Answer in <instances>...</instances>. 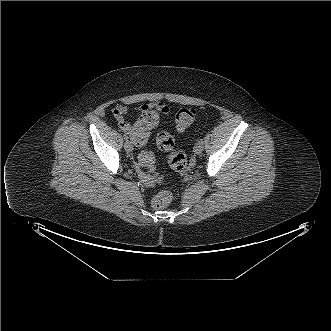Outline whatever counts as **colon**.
Returning <instances> with one entry per match:
<instances>
[{
	"label": "colon",
	"mask_w": 331,
	"mask_h": 331,
	"mask_svg": "<svg viewBox=\"0 0 331 331\" xmlns=\"http://www.w3.org/2000/svg\"><path fill=\"white\" fill-rule=\"evenodd\" d=\"M196 110L190 107L180 109L175 116V125L178 130L189 128L196 118ZM159 121V113L154 109L142 110L136 122L138 137L135 139L137 143L148 140L150 131L157 125ZM158 148L166 153H169V164L176 171H183L188 166L186 155L174 149V138L167 132H161L157 136ZM144 164L149 171L154 172L153 158L146 157ZM172 199L171 192L167 189L160 191L152 200V205L156 209L166 207Z\"/></svg>",
	"instance_id": "colon-1"
}]
</instances>
